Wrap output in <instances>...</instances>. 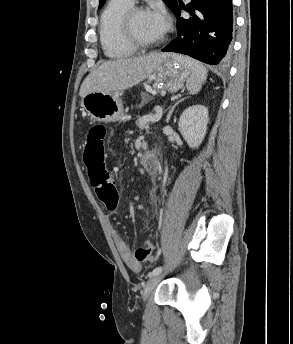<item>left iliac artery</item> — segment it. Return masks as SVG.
I'll list each match as a JSON object with an SVG mask.
<instances>
[{"mask_svg":"<svg viewBox=\"0 0 293 344\" xmlns=\"http://www.w3.org/2000/svg\"><path fill=\"white\" fill-rule=\"evenodd\" d=\"M161 271H162V267L161 266L156 267L151 272H149L148 276L151 277V276H154V275H158V274L161 273Z\"/></svg>","mask_w":293,"mask_h":344,"instance_id":"1","label":"left iliac artery"}]
</instances>
